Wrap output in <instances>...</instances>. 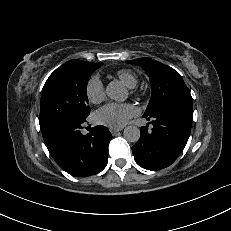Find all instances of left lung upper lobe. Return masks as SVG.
Instances as JSON below:
<instances>
[{
  "instance_id": "1",
  "label": "left lung upper lobe",
  "mask_w": 231,
  "mask_h": 231,
  "mask_svg": "<svg viewBox=\"0 0 231 231\" xmlns=\"http://www.w3.org/2000/svg\"><path fill=\"white\" fill-rule=\"evenodd\" d=\"M127 63L142 67L150 79L152 96L144 115L170 103L192 104L190 90L173 68L151 58L134 59Z\"/></svg>"
}]
</instances>
